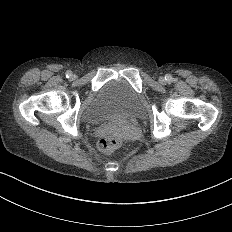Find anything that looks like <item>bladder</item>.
I'll return each mask as SVG.
<instances>
[{
	"label": "bladder",
	"mask_w": 232,
	"mask_h": 232,
	"mask_svg": "<svg viewBox=\"0 0 232 232\" xmlns=\"http://www.w3.org/2000/svg\"><path fill=\"white\" fill-rule=\"evenodd\" d=\"M142 113L138 94L123 79H111L96 92L82 111V119L89 124H99L110 118H134Z\"/></svg>",
	"instance_id": "bladder-1"
}]
</instances>
